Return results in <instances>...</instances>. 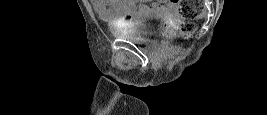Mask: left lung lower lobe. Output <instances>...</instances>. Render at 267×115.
Segmentation results:
<instances>
[{"instance_id":"1","label":"left lung lower lobe","mask_w":267,"mask_h":115,"mask_svg":"<svg viewBox=\"0 0 267 115\" xmlns=\"http://www.w3.org/2000/svg\"><path fill=\"white\" fill-rule=\"evenodd\" d=\"M147 90H150V91H158L159 90V87H151V88H147Z\"/></svg>"}]
</instances>
